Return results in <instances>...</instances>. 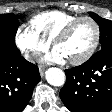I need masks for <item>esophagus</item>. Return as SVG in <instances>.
Returning <instances> with one entry per match:
<instances>
[{
  "label": "esophagus",
  "mask_w": 112,
  "mask_h": 112,
  "mask_svg": "<svg viewBox=\"0 0 112 112\" xmlns=\"http://www.w3.org/2000/svg\"><path fill=\"white\" fill-rule=\"evenodd\" d=\"M39 72H40L41 77H43L44 76V72H45V67L40 66L39 67Z\"/></svg>",
  "instance_id": "34e87169"
}]
</instances>
